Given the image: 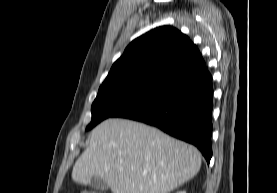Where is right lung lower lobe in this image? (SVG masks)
I'll return each instance as SVG.
<instances>
[{
    "label": "right lung lower lobe",
    "instance_id": "obj_1",
    "mask_svg": "<svg viewBox=\"0 0 277 193\" xmlns=\"http://www.w3.org/2000/svg\"><path fill=\"white\" fill-rule=\"evenodd\" d=\"M212 76L206 66L171 81L114 117L158 127L212 157Z\"/></svg>",
    "mask_w": 277,
    "mask_h": 193
}]
</instances>
